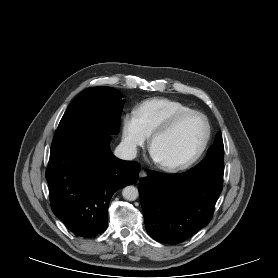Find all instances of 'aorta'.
<instances>
[{"label":"aorta","instance_id":"aorta-1","mask_svg":"<svg viewBox=\"0 0 278 278\" xmlns=\"http://www.w3.org/2000/svg\"><path fill=\"white\" fill-rule=\"evenodd\" d=\"M139 192L138 189L134 186H126L123 188L122 196L128 201H134L138 198Z\"/></svg>","mask_w":278,"mask_h":278}]
</instances>
